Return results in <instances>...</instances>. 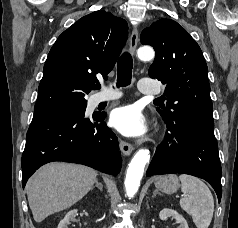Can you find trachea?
I'll list each match as a JSON object with an SVG mask.
<instances>
[{"mask_svg":"<svg viewBox=\"0 0 238 228\" xmlns=\"http://www.w3.org/2000/svg\"><path fill=\"white\" fill-rule=\"evenodd\" d=\"M133 60L128 52L121 55L117 64V87H125L131 83ZM95 89H100L97 84Z\"/></svg>","mask_w":238,"mask_h":228,"instance_id":"trachea-1","label":"trachea"}]
</instances>
